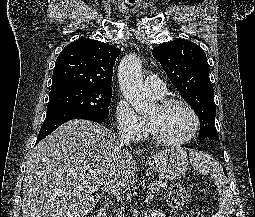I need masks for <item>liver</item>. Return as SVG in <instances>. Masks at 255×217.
Returning a JSON list of instances; mask_svg holds the SVG:
<instances>
[{"mask_svg":"<svg viewBox=\"0 0 255 217\" xmlns=\"http://www.w3.org/2000/svg\"><path fill=\"white\" fill-rule=\"evenodd\" d=\"M190 154L194 158L199 153ZM137 174L131 152L121 149L111 130L87 120L68 121L31 152L23 181V217H84L105 192L125 193ZM93 187L99 190L91 191Z\"/></svg>","mask_w":255,"mask_h":217,"instance_id":"liver-1","label":"liver"}]
</instances>
